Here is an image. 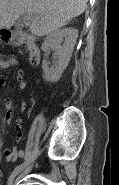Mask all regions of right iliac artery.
Returning <instances> with one entry per match:
<instances>
[{
  "label": "right iliac artery",
  "instance_id": "obj_1",
  "mask_svg": "<svg viewBox=\"0 0 119 185\" xmlns=\"http://www.w3.org/2000/svg\"><path fill=\"white\" fill-rule=\"evenodd\" d=\"M30 162V160L25 161L24 163L15 167L14 171L9 177V182Z\"/></svg>",
  "mask_w": 119,
  "mask_h": 185
}]
</instances>
